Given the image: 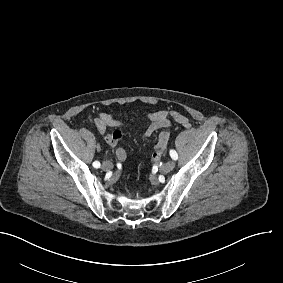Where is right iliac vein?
<instances>
[{"label": "right iliac vein", "mask_w": 283, "mask_h": 283, "mask_svg": "<svg viewBox=\"0 0 283 283\" xmlns=\"http://www.w3.org/2000/svg\"><path fill=\"white\" fill-rule=\"evenodd\" d=\"M113 167L112 163L110 161H104L102 163V169L105 171L110 170Z\"/></svg>", "instance_id": "63e3f726"}]
</instances>
